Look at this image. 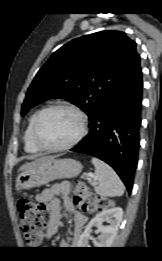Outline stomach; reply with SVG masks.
Instances as JSON below:
<instances>
[{
    "mask_svg": "<svg viewBox=\"0 0 162 261\" xmlns=\"http://www.w3.org/2000/svg\"><path fill=\"white\" fill-rule=\"evenodd\" d=\"M82 171V165L71 158L47 156L30 168L20 169L16 177L18 189H30L63 178H74Z\"/></svg>",
    "mask_w": 162,
    "mask_h": 261,
    "instance_id": "obj_1",
    "label": "stomach"
}]
</instances>
